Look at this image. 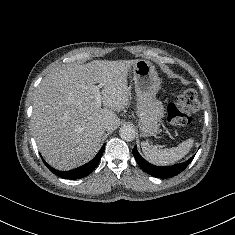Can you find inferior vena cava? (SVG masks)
Segmentation results:
<instances>
[{
  "instance_id": "602c4592",
  "label": "inferior vena cava",
  "mask_w": 235,
  "mask_h": 235,
  "mask_svg": "<svg viewBox=\"0 0 235 235\" xmlns=\"http://www.w3.org/2000/svg\"><path fill=\"white\" fill-rule=\"evenodd\" d=\"M102 129L106 130L107 129V125L106 124H102Z\"/></svg>"
}]
</instances>
